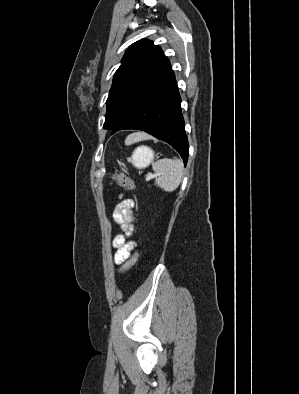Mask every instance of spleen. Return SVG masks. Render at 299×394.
Masks as SVG:
<instances>
[{
  "mask_svg": "<svg viewBox=\"0 0 299 394\" xmlns=\"http://www.w3.org/2000/svg\"><path fill=\"white\" fill-rule=\"evenodd\" d=\"M153 171L158 175L155 184L166 192L178 188L182 181L184 165L178 159H160L153 164Z\"/></svg>",
  "mask_w": 299,
  "mask_h": 394,
  "instance_id": "1",
  "label": "spleen"
}]
</instances>
